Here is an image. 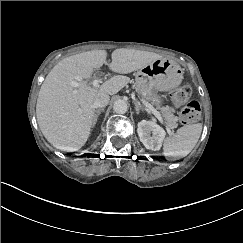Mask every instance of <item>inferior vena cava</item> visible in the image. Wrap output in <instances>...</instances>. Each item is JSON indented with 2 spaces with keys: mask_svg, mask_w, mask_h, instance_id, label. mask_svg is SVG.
I'll return each instance as SVG.
<instances>
[{
  "mask_svg": "<svg viewBox=\"0 0 243 243\" xmlns=\"http://www.w3.org/2000/svg\"><path fill=\"white\" fill-rule=\"evenodd\" d=\"M110 97L108 94L99 93L95 97L94 107H104L109 103Z\"/></svg>",
  "mask_w": 243,
  "mask_h": 243,
  "instance_id": "inferior-vena-cava-1",
  "label": "inferior vena cava"
}]
</instances>
